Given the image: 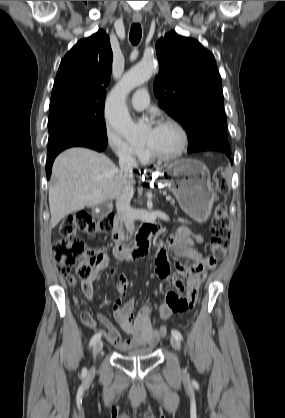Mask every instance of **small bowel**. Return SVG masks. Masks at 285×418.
Masks as SVG:
<instances>
[{"label": "small bowel", "mask_w": 285, "mask_h": 418, "mask_svg": "<svg viewBox=\"0 0 285 418\" xmlns=\"http://www.w3.org/2000/svg\"><path fill=\"white\" fill-rule=\"evenodd\" d=\"M192 237L189 232L174 234L166 239L165 246L178 256L195 261V264L191 266L172 264L167 258L155 261L157 276L169 280L173 287L172 290L167 292L165 301L158 307L157 316L160 319L165 320L174 313L187 310L188 304L193 303L198 298L200 287L206 277L205 263L208 258L202 257L190 248L189 242ZM107 270L116 276V286L120 294L112 306L113 314L121 329L131 335V339L123 341L110 318L103 313H97V320L106 328L104 336L111 344L122 351L156 344L159 337L152 326L149 307L144 306L134 314V301H125L127 279L118 268L110 266L109 259H103L93 268L91 276L82 280L81 285L85 296L88 299L93 298V283L100 281L103 273ZM67 281L68 283L72 282L73 285L76 283L75 278L71 275H67ZM76 303H78L77 300ZM81 318L86 327L95 328V321L88 311H82Z\"/></svg>", "instance_id": "obj_1"}]
</instances>
